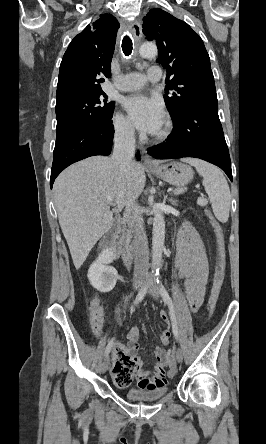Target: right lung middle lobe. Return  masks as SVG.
I'll return each mask as SVG.
<instances>
[{"label": "right lung middle lobe", "mask_w": 266, "mask_h": 444, "mask_svg": "<svg viewBox=\"0 0 266 444\" xmlns=\"http://www.w3.org/2000/svg\"><path fill=\"white\" fill-rule=\"evenodd\" d=\"M55 108L58 142L76 130L111 122L114 102L107 103V95L102 89H97L56 98Z\"/></svg>", "instance_id": "obj_1"}]
</instances>
